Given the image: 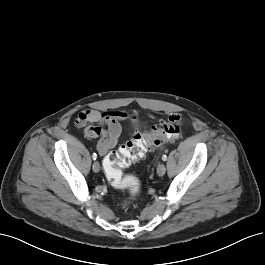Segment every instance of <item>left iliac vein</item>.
Here are the masks:
<instances>
[{
	"instance_id": "1",
	"label": "left iliac vein",
	"mask_w": 265,
	"mask_h": 265,
	"mask_svg": "<svg viewBox=\"0 0 265 265\" xmlns=\"http://www.w3.org/2000/svg\"><path fill=\"white\" fill-rule=\"evenodd\" d=\"M166 172V167L164 164H159L158 167H157V174L159 176H163Z\"/></svg>"
}]
</instances>
